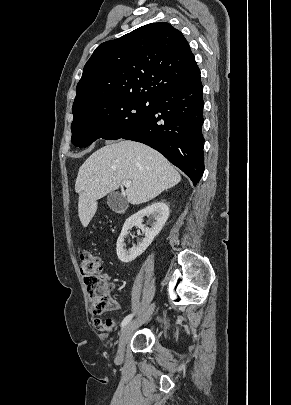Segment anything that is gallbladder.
<instances>
[{
  "instance_id": "obj_1",
  "label": "gallbladder",
  "mask_w": 291,
  "mask_h": 405,
  "mask_svg": "<svg viewBox=\"0 0 291 405\" xmlns=\"http://www.w3.org/2000/svg\"><path fill=\"white\" fill-rule=\"evenodd\" d=\"M107 204L110 209L116 213L125 211L128 206L125 196L118 192L111 193L107 197Z\"/></svg>"
}]
</instances>
